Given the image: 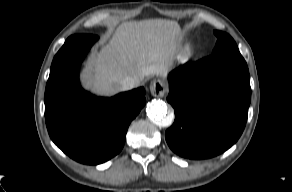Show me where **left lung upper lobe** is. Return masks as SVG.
<instances>
[{"label":"left lung upper lobe","mask_w":292,"mask_h":192,"mask_svg":"<svg viewBox=\"0 0 292 192\" xmlns=\"http://www.w3.org/2000/svg\"><path fill=\"white\" fill-rule=\"evenodd\" d=\"M214 34L218 40L212 55L222 52L240 53L235 41L229 34L221 31H214Z\"/></svg>","instance_id":"5c2ea615"}]
</instances>
